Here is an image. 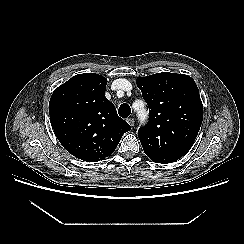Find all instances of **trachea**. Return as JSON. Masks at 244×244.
I'll use <instances>...</instances> for the list:
<instances>
[{"instance_id":"3493384b","label":"trachea","mask_w":244,"mask_h":244,"mask_svg":"<svg viewBox=\"0 0 244 244\" xmlns=\"http://www.w3.org/2000/svg\"><path fill=\"white\" fill-rule=\"evenodd\" d=\"M118 113L121 117L126 118L131 114V108L128 104L120 105Z\"/></svg>"}]
</instances>
